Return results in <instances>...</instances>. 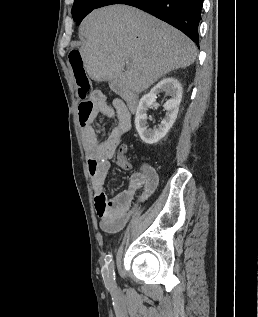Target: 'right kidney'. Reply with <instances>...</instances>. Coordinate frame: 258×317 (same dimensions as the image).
I'll use <instances>...</instances> for the list:
<instances>
[{"instance_id":"ca27d5eb","label":"right kidney","mask_w":258,"mask_h":317,"mask_svg":"<svg viewBox=\"0 0 258 317\" xmlns=\"http://www.w3.org/2000/svg\"><path fill=\"white\" fill-rule=\"evenodd\" d=\"M162 90H165L166 94L171 96L164 104V110H167V112L164 118H162L161 124H158V128H148V106H151V104L155 102L157 94L162 92ZM181 98L182 86L177 78H173V76L162 78V80H159V82L151 88L150 92H147V94H144V96L140 98L136 110L135 126L140 134V138H142L144 142L154 144V142H158L160 138H163V136L167 134L169 128H171L177 118Z\"/></svg>"}]
</instances>
